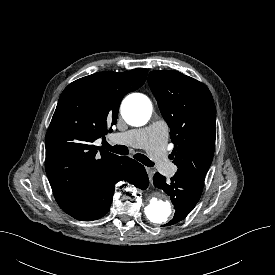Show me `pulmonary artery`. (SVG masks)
Returning a JSON list of instances; mask_svg holds the SVG:
<instances>
[{
	"label": "pulmonary artery",
	"instance_id": "e3ab8cb5",
	"mask_svg": "<svg viewBox=\"0 0 275 275\" xmlns=\"http://www.w3.org/2000/svg\"><path fill=\"white\" fill-rule=\"evenodd\" d=\"M114 138L120 143L146 149L155 165L164 174L171 176L176 172V166L166 156L164 145L167 138V130L164 125L154 123L146 128L118 133Z\"/></svg>",
	"mask_w": 275,
	"mask_h": 275
}]
</instances>
